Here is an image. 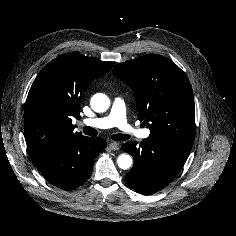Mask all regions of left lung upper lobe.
<instances>
[{
    "label": "left lung upper lobe",
    "instance_id": "1",
    "mask_svg": "<svg viewBox=\"0 0 236 236\" xmlns=\"http://www.w3.org/2000/svg\"><path fill=\"white\" fill-rule=\"evenodd\" d=\"M113 72L132 89L150 136L193 146L194 97L183 70L164 56L148 54L118 63Z\"/></svg>",
    "mask_w": 236,
    "mask_h": 236
}]
</instances>
